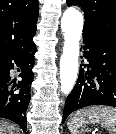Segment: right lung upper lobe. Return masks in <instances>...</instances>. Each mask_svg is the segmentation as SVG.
I'll list each match as a JSON object with an SVG mask.
<instances>
[{"label": "right lung upper lobe", "mask_w": 116, "mask_h": 134, "mask_svg": "<svg viewBox=\"0 0 116 134\" xmlns=\"http://www.w3.org/2000/svg\"><path fill=\"white\" fill-rule=\"evenodd\" d=\"M38 0H0V60L36 34Z\"/></svg>", "instance_id": "right-lung-upper-lobe-1"}]
</instances>
